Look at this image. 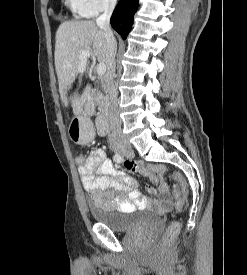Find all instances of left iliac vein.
Segmentation results:
<instances>
[{"mask_svg": "<svg viewBox=\"0 0 247 275\" xmlns=\"http://www.w3.org/2000/svg\"><path fill=\"white\" fill-rule=\"evenodd\" d=\"M123 155L126 156L127 158H131L134 156V152L132 149H127L123 152Z\"/></svg>", "mask_w": 247, "mask_h": 275, "instance_id": "obj_1", "label": "left iliac vein"}]
</instances>
